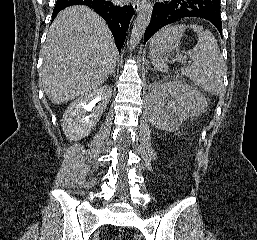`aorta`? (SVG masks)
Segmentation results:
<instances>
[{
    "mask_svg": "<svg viewBox=\"0 0 257 240\" xmlns=\"http://www.w3.org/2000/svg\"><path fill=\"white\" fill-rule=\"evenodd\" d=\"M152 9L153 6L150 2L145 3L140 9L131 32L130 50L134 49L138 45L144 35L152 17Z\"/></svg>",
    "mask_w": 257,
    "mask_h": 240,
    "instance_id": "aorta-1",
    "label": "aorta"
}]
</instances>
